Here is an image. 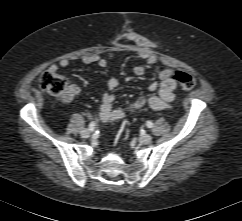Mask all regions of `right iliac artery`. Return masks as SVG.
Wrapping results in <instances>:
<instances>
[{
    "label": "right iliac artery",
    "mask_w": 242,
    "mask_h": 221,
    "mask_svg": "<svg viewBox=\"0 0 242 221\" xmlns=\"http://www.w3.org/2000/svg\"><path fill=\"white\" fill-rule=\"evenodd\" d=\"M89 130L90 131H93L94 130V128H95V122L94 121H92L90 124H89Z\"/></svg>",
    "instance_id": "1"
}]
</instances>
